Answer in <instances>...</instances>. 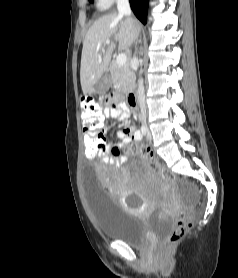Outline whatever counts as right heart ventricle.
<instances>
[{
	"mask_svg": "<svg viewBox=\"0 0 238 278\" xmlns=\"http://www.w3.org/2000/svg\"><path fill=\"white\" fill-rule=\"evenodd\" d=\"M97 7L100 10H105L106 8H108V6L102 3L100 0H97Z\"/></svg>",
	"mask_w": 238,
	"mask_h": 278,
	"instance_id": "e07e8e85",
	"label": "right heart ventricle"
}]
</instances>
